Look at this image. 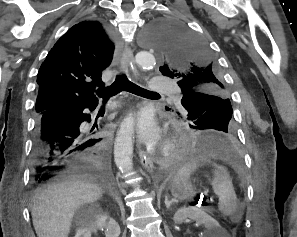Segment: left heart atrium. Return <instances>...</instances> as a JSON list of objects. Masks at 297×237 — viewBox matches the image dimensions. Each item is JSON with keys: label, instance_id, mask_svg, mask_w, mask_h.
Listing matches in <instances>:
<instances>
[{"label": "left heart atrium", "instance_id": "obj_1", "mask_svg": "<svg viewBox=\"0 0 297 237\" xmlns=\"http://www.w3.org/2000/svg\"><path fill=\"white\" fill-rule=\"evenodd\" d=\"M134 126L140 142L153 145L158 141L160 130L154 116L150 112H139L135 117Z\"/></svg>", "mask_w": 297, "mask_h": 237}]
</instances>
